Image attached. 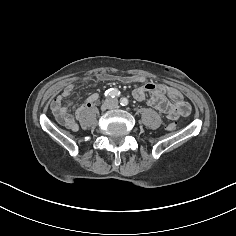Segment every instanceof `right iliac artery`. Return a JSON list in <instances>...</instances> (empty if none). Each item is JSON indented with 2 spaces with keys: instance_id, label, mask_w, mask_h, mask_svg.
I'll return each mask as SVG.
<instances>
[{
  "instance_id": "obj_1",
  "label": "right iliac artery",
  "mask_w": 236,
  "mask_h": 236,
  "mask_svg": "<svg viewBox=\"0 0 236 236\" xmlns=\"http://www.w3.org/2000/svg\"><path fill=\"white\" fill-rule=\"evenodd\" d=\"M120 96V91L116 88H110L105 92V97L116 98Z\"/></svg>"
}]
</instances>
